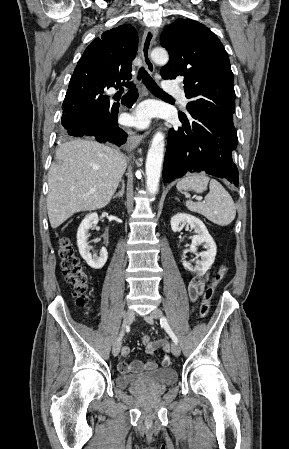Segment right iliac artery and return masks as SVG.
<instances>
[{
    "instance_id": "82829eb1",
    "label": "right iliac artery",
    "mask_w": 289,
    "mask_h": 449,
    "mask_svg": "<svg viewBox=\"0 0 289 449\" xmlns=\"http://www.w3.org/2000/svg\"><path fill=\"white\" fill-rule=\"evenodd\" d=\"M123 335H124V333L122 332L121 335H120V337H119V339H121Z\"/></svg>"
}]
</instances>
